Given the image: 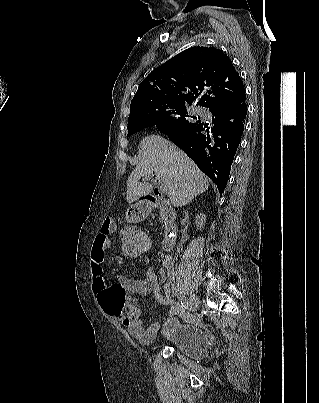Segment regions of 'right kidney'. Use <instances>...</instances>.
<instances>
[{
  "label": "right kidney",
  "instance_id": "1",
  "mask_svg": "<svg viewBox=\"0 0 319 403\" xmlns=\"http://www.w3.org/2000/svg\"><path fill=\"white\" fill-rule=\"evenodd\" d=\"M206 223V215L201 213L195 217V224L197 229L202 230Z\"/></svg>",
  "mask_w": 319,
  "mask_h": 403
}]
</instances>
